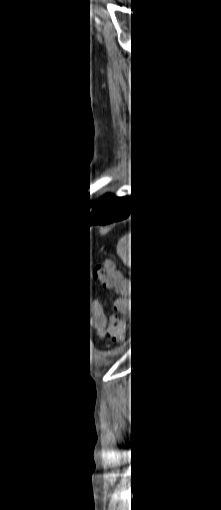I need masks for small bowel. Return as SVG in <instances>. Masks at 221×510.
Here are the masks:
<instances>
[{"mask_svg": "<svg viewBox=\"0 0 221 510\" xmlns=\"http://www.w3.org/2000/svg\"><path fill=\"white\" fill-rule=\"evenodd\" d=\"M93 306L96 309V314L94 315V326L99 334H104L106 327V317L101 309V304L99 299L93 300Z\"/></svg>", "mask_w": 221, "mask_h": 510, "instance_id": "small-bowel-1", "label": "small bowel"}]
</instances>
